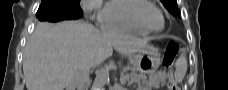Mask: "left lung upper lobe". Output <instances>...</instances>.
<instances>
[{"mask_svg": "<svg viewBox=\"0 0 228 90\" xmlns=\"http://www.w3.org/2000/svg\"><path fill=\"white\" fill-rule=\"evenodd\" d=\"M166 8H169L172 13H177L176 0H161Z\"/></svg>", "mask_w": 228, "mask_h": 90, "instance_id": "1", "label": "left lung upper lobe"}]
</instances>
